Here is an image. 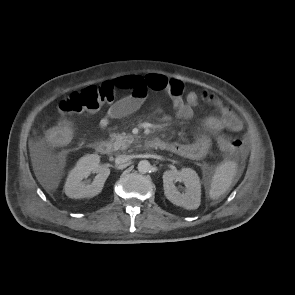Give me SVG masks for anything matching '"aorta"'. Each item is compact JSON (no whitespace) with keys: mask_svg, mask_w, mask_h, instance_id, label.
<instances>
[{"mask_svg":"<svg viewBox=\"0 0 295 295\" xmlns=\"http://www.w3.org/2000/svg\"><path fill=\"white\" fill-rule=\"evenodd\" d=\"M151 169V164L149 163V161L147 160H141L139 163H138V171L140 173H147L149 172Z\"/></svg>","mask_w":295,"mask_h":295,"instance_id":"obj_1","label":"aorta"}]
</instances>
